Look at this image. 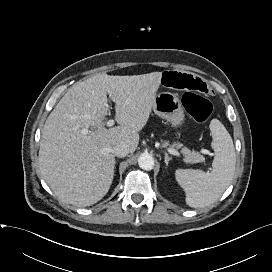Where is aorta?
Returning a JSON list of instances; mask_svg holds the SVG:
<instances>
[{
  "mask_svg": "<svg viewBox=\"0 0 272 272\" xmlns=\"http://www.w3.org/2000/svg\"><path fill=\"white\" fill-rule=\"evenodd\" d=\"M139 167L143 170H152L154 168V159L148 153H143L138 158Z\"/></svg>",
  "mask_w": 272,
  "mask_h": 272,
  "instance_id": "obj_1",
  "label": "aorta"
}]
</instances>
